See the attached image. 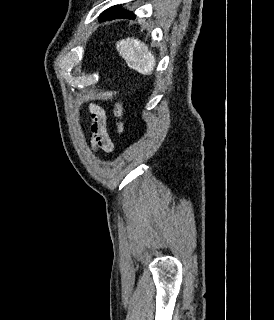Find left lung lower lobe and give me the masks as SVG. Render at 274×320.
Returning a JSON list of instances; mask_svg holds the SVG:
<instances>
[{
	"mask_svg": "<svg viewBox=\"0 0 274 320\" xmlns=\"http://www.w3.org/2000/svg\"><path fill=\"white\" fill-rule=\"evenodd\" d=\"M116 18H127V19H133L135 18V14L132 12H129L127 10H124L122 12H115V13H107L100 16V21L103 20H109V19H116Z\"/></svg>",
	"mask_w": 274,
	"mask_h": 320,
	"instance_id": "1",
	"label": "left lung lower lobe"
}]
</instances>
